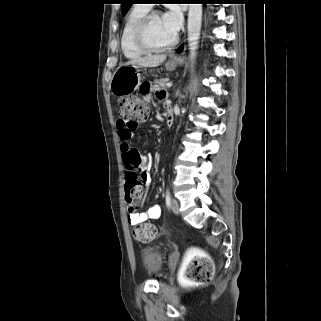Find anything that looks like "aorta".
I'll use <instances>...</instances> for the list:
<instances>
[{"label":"aorta","instance_id":"aorta-1","mask_svg":"<svg viewBox=\"0 0 321 321\" xmlns=\"http://www.w3.org/2000/svg\"><path fill=\"white\" fill-rule=\"evenodd\" d=\"M202 23V5L189 4L188 11V47L191 61L196 57Z\"/></svg>","mask_w":321,"mask_h":321}]
</instances>
